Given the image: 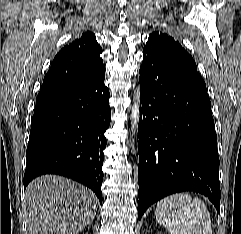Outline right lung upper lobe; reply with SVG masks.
I'll list each match as a JSON object with an SVG mask.
<instances>
[{
  "label": "right lung upper lobe",
  "mask_w": 241,
  "mask_h": 234,
  "mask_svg": "<svg viewBox=\"0 0 241 234\" xmlns=\"http://www.w3.org/2000/svg\"><path fill=\"white\" fill-rule=\"evenodd\" d=\"M101 53L95 34L83 33L55 56L40 91L73 84L96 74L104 68Z\"/></svg>",
  "instance_id": "1"
}]
</instances>
